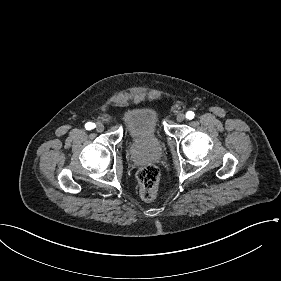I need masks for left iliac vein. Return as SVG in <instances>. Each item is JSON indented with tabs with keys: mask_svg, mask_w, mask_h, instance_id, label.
<instances>
[{
	"mask_svg": "<svg viewBox=\"0 0 281 281\" xmlns=\"http://www.w3.org/2000/svg\"><path fill=\"white\" fill-rule=\"evenodd\" d=\"M185 118H186V115H185L184 113H179V114H177V116H176L177 122H182V121L185 120Z\"/></svg>",
	"mask_w": 281,
	"mask_h": 281,
	"instance_id": "4c4485c4",
	"label": "left iliac vein"
}]
</instances>
